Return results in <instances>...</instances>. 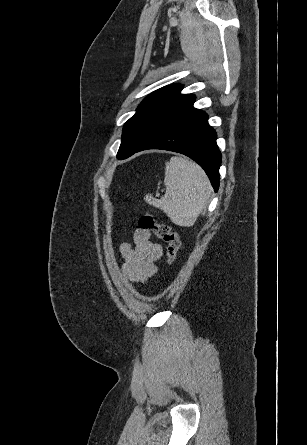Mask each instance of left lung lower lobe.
<instances>
[{"instance_id": "left-lung-lower-lobe-1", "label": "left lung lower lobe", "mask_w": 307, "mask_h": 445, "mask_svg": "<svg viewBox=\"0 0 307 445\" xmlns=\"http://www.w3.org/2000/svg\"><path fill=\"white\" fill-rule=\"evenodd\" d=\"M207 120L205 112L193 108L149 137L129 156L147 149H163L187 155L205 170L217 192L221 154L216 144V132Z\"/></svg>"}]
</instances>
